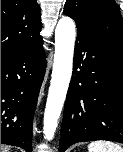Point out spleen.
Wrapping results in <instances>:
<instances>
[{
    "label": "spleen",
    "mask_w": 123,
    "mask_h": 152,
    "mask_svg": "<svg viewBox=\"0 0 123 152\" xmlns=\"http://www.w3.org/2000/svg\"><path fill=\"white\" fill-rule=\"evenodd\" d=\"M88 152H123V148L110 141H94L88 145Z\"/></svg>",
    "instance_id": "obj_1"
}]
</instances>
